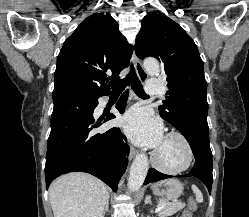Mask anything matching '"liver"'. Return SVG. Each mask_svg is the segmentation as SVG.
<instances>
[{
	"label": "liver",
	"instance_id": "liver-1",
	"mask_svg": "<svg viewBox=\"0 0 249 217\" xmlns=\"http://www.w3.org/2000/svg\"><path fill=\"white\" fill-rule=\"evenodd\" d=\"M108 198L106 185L82 172L66 174L49 188L54 217H102Z\"/></svg>",
	"mask_w": 249,
	"mask_h": 217
}]
</instances>
